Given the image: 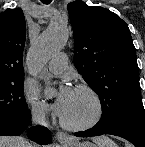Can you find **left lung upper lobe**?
<instances>
[{
	"label": "left lung upper lobe",
	"mask_w": 145,
	"mask_h": 147,
	"mask_svg": "<svg viewBox=\"0 0 145 147\" xmlns=\"http://www.w3.org/2000/svg\"><path fill=\"white\" fill-rule=\"evenodd\" d=\"M74 34V65L99 96L107 128L145 114L135 47L128 25L115 13L80 0L67 6Z\"/></svg>",
	"instance_id": "5c2ea615"
}]
</instances>
